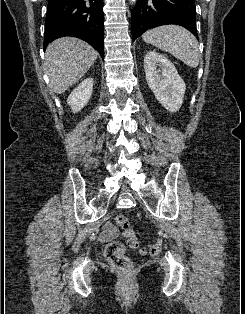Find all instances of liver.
<instances>
[{
    "label": "liver",
    "instance_id": "liver-1",
    "mask_svg": "<svg viewBox=\"0 0 245 314\" xmlns=\"http://www.w3.org/2000/svg\"><path fill=\"white\" fill-rule=\"evenodd\" d=\"M98 52L88 43L64 37L50 43L45 52V68L51 90L62 94L94 64Z\"/></svg>",
    "mask_w": 245,
    "mask_h": 314
}]
</instances>
